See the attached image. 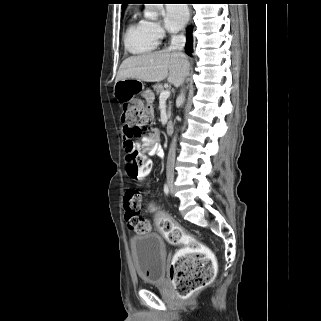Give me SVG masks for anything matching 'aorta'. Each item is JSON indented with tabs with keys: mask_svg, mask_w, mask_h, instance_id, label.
Segmentation results:
<instances>
[{
	"mask_svg": "<svg viewBox=\"0 0 321 321\" xmlns=\"http://www.w3.org/2000/svg\"><path fill=\"white\" fill-rule=\"evenodd\" d=\"M162 8L163 4H146L144 15L146 18L156 20Z\"/></svg>",
	"mask_w": 321,
	"mask_h": 321,
	"instance_id": "obj_1",
	"label": "aorta"
}]
</instances>
